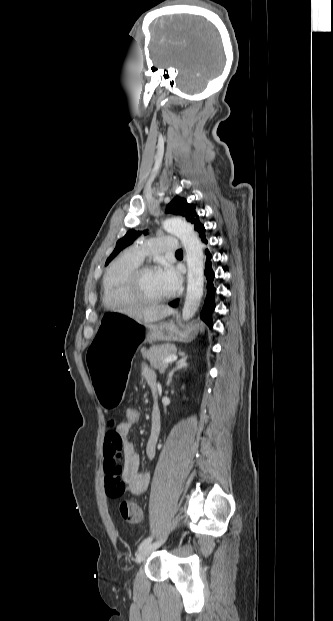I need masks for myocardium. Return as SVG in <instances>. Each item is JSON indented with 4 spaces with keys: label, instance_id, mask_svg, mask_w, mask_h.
Returning <instances> with one entry per match:
<instances>
[{
    "label": "myocardium",
    "instance_id": "1",
    "mask_svg": "<svg viewBox=\"0 0 333 621\" xmlns=\"http://www.w3.org/2000/svg\"><path fill=\"white\" fill-rule=\"evenodd\" d=\"M155 270V267L151 265H138L135 269H133L129 275L127 276L124 282V292L127 298L132 300L136 304L143 305H157L166 302L170 295H166L160 298H149L143 295L139 289V282L141 276L146 273Z\"/></svg>",
    "mask_w": 333,
    "mask_h": 621
}]
</instances>
